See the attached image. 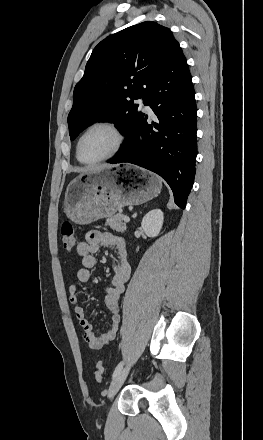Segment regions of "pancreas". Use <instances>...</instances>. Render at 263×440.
I'll use <instances>...</instances> for the list:
<instances>
[{
	"mask_svg": "<svg viewBox=\"0 0 263 440\" xmlns=\"http://www.w3.org/2000/svg\"><path fill=\"white\" fill-rule=\"evenodd\" d=\"M123 217L124 215L121 213L110 216L106 220V225L115 231L124 232L126 230V225L123 222Z\"/></svg>",
	"mask_w": 263,
	"mask_h": 440,
	"instance_id": "pancreas-1",
	"label": "pancreas"
}]
</instances>
